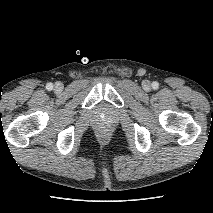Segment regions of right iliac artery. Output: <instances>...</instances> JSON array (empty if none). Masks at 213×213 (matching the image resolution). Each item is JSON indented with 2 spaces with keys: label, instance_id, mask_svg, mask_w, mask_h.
<instances>
[{
  "label": "right iliac artery",
  "instance_id": "right-iliac-artery-1",
  "mask_svg": "<svg viewBox=\"0 0 213 213\" xmlns=\"http://www.w3.org/2000/svg\"><path fill=\"white\" fill-rule=\"evenodd\" d=\"M46 89L49 90V91L52 90L53 89V84L52 83H47Z\"/></svg>",
  "mask_w": 213,
  "mask_h": 213
}]
</instances>
